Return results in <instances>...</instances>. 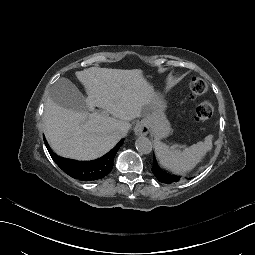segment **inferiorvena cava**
I'll return each instance as SVG.
<instances>
[{"label":"inferior vena cava","mask_w":255,"mask_h":255,"mask_svg":"<svg viewBox=\"0 0 255 255\" xmlns=\"http://www.w3.org/2000/svg\"><path fill=\"white\" fill-rule=\"evenodd\" d=\"M130 129V123L128 122H121L117 126V133L119 138H123L127 135L128 131Z\"/></svg>","instance_id":"obj_1"}]
</instances>
